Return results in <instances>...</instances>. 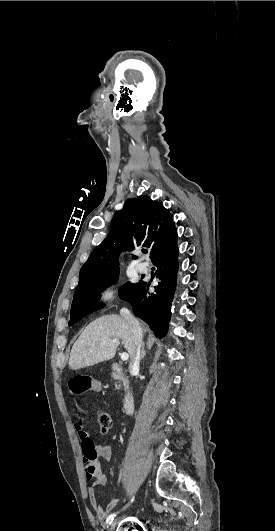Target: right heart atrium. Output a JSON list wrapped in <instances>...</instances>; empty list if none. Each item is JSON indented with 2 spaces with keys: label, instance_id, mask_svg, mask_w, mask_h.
Returning a JSON list of instances; mask_svg holds the SVG:
<instances>
[{
  "label": "right heart atrium",
  "instance_id": "d8ad5b80",
  "mask_svg": "<svg viewBox=\"0 0 275 531\" xmlns=\"http://www.w3.org/2000/svg\"><path fill=\"white\" fill-rule=\"evenodd\" d=\"M111 296H112V290H111L110 288L105 289V290L103 291V293H102V297H103L104 299H108V298H110Z\"/></svg>",
  "mask_w": 275,
  "mask_h": 531
}]
</instances>
